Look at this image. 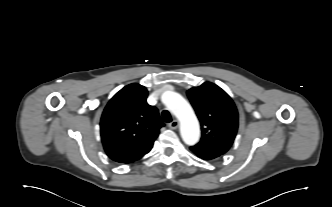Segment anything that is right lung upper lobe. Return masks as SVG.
<instances>
[{
  "instance_id": "1",
  "label": "right lung upper lobe",
  "mask_w": 332,
  "mask_h": 207,
  "mask_svg": "<svg viewBox=\"0 0 332 207\" xmlns=\"http://www.w3.org/2000/svg\"><path fill=\"white\" fill-rule=\"evenodd\" d=\"M147 89L129 84L105 107L100 132L107 155L119 163H131L147 154L164 123L158 110L146 102Z\"/></svg>"
}]
</instances>
